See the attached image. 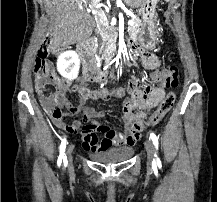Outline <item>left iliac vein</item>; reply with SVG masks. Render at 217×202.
<instances>
[{
	"label": "left iliac vein",
	"mask_w": 217,
	"mask_h": 202,
	"mask_svg": "<svg viewBox=\"0 0 217 202\" xmlns=\"http://www.w3.org/2000/svg\"><path fill=\"white\" fill-rule=\"evenodd\" d=\"M145 148L147 151V159H148V163L150 166H153L154 161H155V148L153 143L151 142V140H146L145 141Z\"/></svg>",
	"instance_id": "left-iliac-vein-1"
}]
</instances>
